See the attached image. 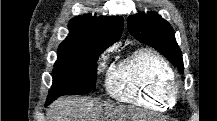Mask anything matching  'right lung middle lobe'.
<instances>
[{
  "label": "right lung middle lobe",
  "instance_id": "right-lung-middle-lobe-1",
  "mask_svg": "<svg viewBox=\"0 0 217 121\" xmlns=\"http://www.w3.org/2000/svg\"><path fill=\"white\" fill-rule=\"evenodd\" d=\"M103 51L94 43L59 46L47 102L62 95L91 92L96 86L97 60Z\"/></svg>",
  "mask_w": 217,
  "mask_h": 121
}]
</instances>
